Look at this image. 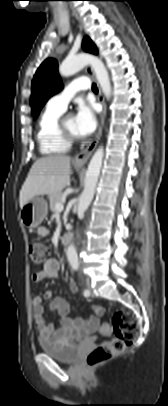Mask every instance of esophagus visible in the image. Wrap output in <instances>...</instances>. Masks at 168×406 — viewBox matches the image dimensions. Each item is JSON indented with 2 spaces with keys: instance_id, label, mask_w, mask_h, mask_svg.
<instances>
[{
  "instance_id": "obj_1",
  "label": "esophagus",
  "mask_w": 168,
  "mask_h": 406,
  "mask_svg": "<svg viewBox=\"0 0 168 406\" xmlns=\"http://www.w3.org/2000/svg\"><path fill=\"white\" fill-rule=\"evenodd\" d=\"M85 70L88 75H90L93 79H95L91 66H87ZM97 87H98V102L102 106L100 122H99L98 130H97L95 138L86 146L85 149H83L81 152L76 154L74 157V160H73L74 163L79 164V165H84L88 162L89 158L91 157L92 153L94 152L95 148L97 147V145L99 143V140L102 135L103 127H104L105 116H106V104H105L101 89L99 88L98 84H97Z\"/></svg>"
}]
</instances>
